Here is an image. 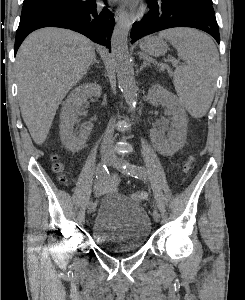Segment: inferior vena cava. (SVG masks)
Returning a JSON list of instances; mask_svg holds the SVG:
<instances>
[{"label": "inferior vena cava", "mask_w": 245, "mask_h": 300, "mask_svg": "<svg viewBox=\"0 0 245 300\" xmlns=\"http://www.w3.org/2000/svg\"><path fill=\"white\" fill-rule=\"evenodd\" d=\"M113 122L114 120L111 119L106 129V132L104 134L103 142H102V151H109L112 148L113 133H114Z\"/></svg>", "instance_id": "obj_1"}]
</instances>
